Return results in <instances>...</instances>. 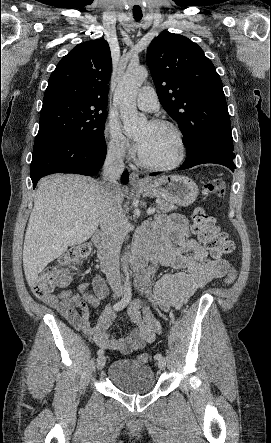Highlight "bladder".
I'll return each instance as SVG.
<instances>
[{
    "instance_id": "bladder-1",
    "label": "bladder",
    "mask_w": 271,
    "mask_h": 443,
    "mask_svg": "<svg viewBox=\"0 0 271 443\" xmlns=\"http://www.w3.org/2000/svg\"><path fill=\"white\" fill-rule=\"evenodd\" d=\"M110 381L127 394H144L155 386L153 369L134 359H118L108 369Z\"/></svg>"
}]
</instances>
